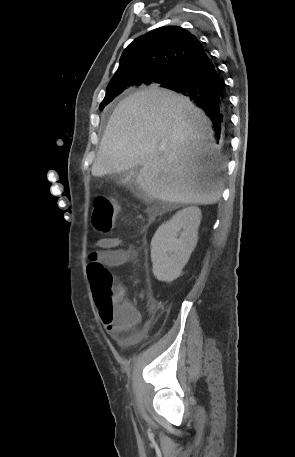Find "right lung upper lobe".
I'll return each instance as SVG.
<instances>
[{
    "mask_svg": "<svg viewBox=\"0 0 295 457\" xmlns=\"http://www.w3.org/2000/svg\"><path fill=\"white\" fill-rule=\"evenodd\" d=\"M204 51L200 41L179 26L154 29L136 38L124 50L107 88L125 83L163 86Z\"/></svg>",
    "mask_w": 295,
    "mask_h": 457,
    "instance_id": "right-lung-upper-lobe-1",
    "label": "right lung upper lobe"
}]
</instances>
